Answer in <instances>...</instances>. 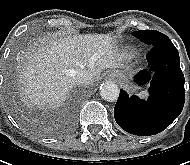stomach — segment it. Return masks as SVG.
Wrapping results in <instances>:
<instances>
[{
  "label": "stomach",
  "instance_id": "1",
  "mask_svg": "<svg viewBox=\"0 0 190 165\" xmlns=\"http://www.w3.org/2000/svg\"><path fill=\"white\" fill-rule=\"evenodd\" d=\"M118 76L120 78V80H122L123 82L126 83V86L131 90V91H136V88H133L131 85L128 84V77L125 76L122 73H118Z\"/></svg>",
  "mask_w": 190,
  "mask_h": 165
}]
</instances>
